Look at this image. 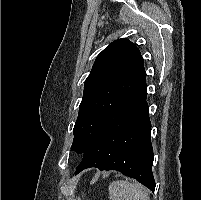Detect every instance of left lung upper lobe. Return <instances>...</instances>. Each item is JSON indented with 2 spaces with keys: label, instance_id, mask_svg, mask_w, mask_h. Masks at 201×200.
I'll list each match as a JSON object with an SVG mask.
<instances>
[{
  "label": "left lung upper lobe",
  "instance_id": "left-lung-upper-lobe-1",
  "mask_svg": "<svg viewBox=\"0 0 201 200\" xmlns=\"http://www.w3.org/2000/svg\"><path fill=\"white\" fill-rule=\"evenodd\" d=\"M144 61L128 39L109 44L85 80L71 149L84 154L109 113L144 79Z\"/></svg>",
  "mask_w": 201,
  "mask_h": 200
}]
</instances>
